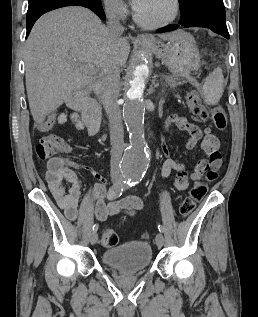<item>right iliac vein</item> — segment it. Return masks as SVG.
<instances>
[{
    "mask_svg": "<svg viewBox=\"0 0 258 317\" xmlns=\"http://www.w3.org/2000/svg\"><path fill=\"white\" fill-rule=\"evenodd\" d=\"M114 184H117V181H114ZM89 240L91 242V245H96V243L98 242V235H97V231H92V233L89 235Z\"/></svg>",
    "mask_w": 258,
    "mask_h": 317,
    "instance_id": "right-iliac-vein-1",
    "label": "right iliac vein"
}]
</instances>
